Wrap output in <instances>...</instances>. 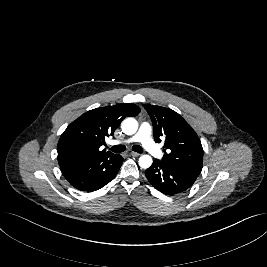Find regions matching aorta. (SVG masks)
Wrapping results in <instances>:
<instances>
[{
    "label": "aorta",
    "instance_id": "762f6f07",
    "mask_svg": "<svg viewBox=\"0 0 267 267\" xmlns=\"http://www.w3.org/2000/svg\"><path fill=\"white\" fill-rule=\"evenodd\" d=\"M121 128L126 135H132L136 133L138 129V122L134 118H126L123 120ZM152 162V157L147 154L142 155L138 161L139 166L144 169L149 168L152 165Z\"/></svg>",
    "mask_w": 267,
    "mask_h": 267
}]
</instances>
